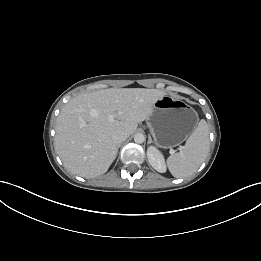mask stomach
<instances>
[{
    "instance_id": "0dacf381",
    "label": "stomach",
    "mask_w": 261,
    "mask_h": 261,
    "mask_svg": "<svg viewBox=\"0 0 261 261\" xmlns=\"http://www.w3.org/2000/svg\"><path fill=\"white\" fill-rule=\"evenodd\" d=\"M198 114L187 103L170 96L160 97L147 118L156 145L172 148L186 140L198 126Z\"/></svg>"
}]
</instances>
